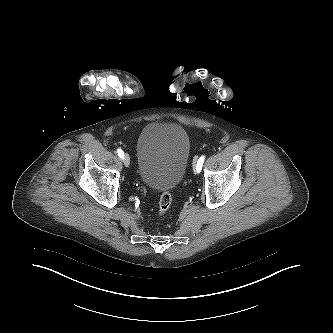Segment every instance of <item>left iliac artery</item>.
Listing matches in <instances>:
<instances>
[{
    "mask_svg": "<svg viewBox=\"0 0 333 333\" xmlns=\"http://www.w3.org/2000/svg\"><path fill=\"white\" fill-rule=\"evenodd\" d=\"M204 160H205V156L202 155V156L198 159V161H197L196 169H197V172H198V173H199V172L201 171V169H202V165H203V163H204Z\"/></svg>",
    "mask_w": 333,
    "mask_h": 333,
    "instance_id": "44dca946",
    "label": "left iliac artery"
}]
</instances>
